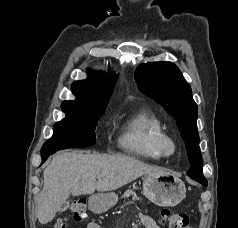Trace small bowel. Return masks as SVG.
Wrapping results in <instances>:
<instances>
[{"label": "small bowel", "instance_id": "1", "mask_svg": "<svg viewBox=\"0 0 238 228\" xmlns=\"http://www.w3.org/2000/svg\"><path fill=\"white\" fill-rule=\"evenodd\" d=\"M140 222L145 228H160L155 220L146 214L139 215ZM87 228H102L97 222H90L87 225Z\"/></svg>", "mask_w": 238, "mask_h": 228}]
</instances>
